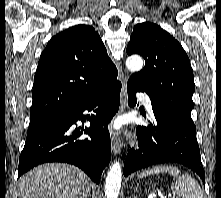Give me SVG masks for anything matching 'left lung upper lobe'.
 <instances>
[{
  "label": "left lung upper lobe",
  "mask_w": 221,
  "mask_h": 198,
  "mask_svg": "<svg viewBox=\"0 0 221 198\" xmlns=\"http://www.w3.org/2000/svg\"><path fill=\"white\" fill-rule=\"evenodd\" d=\"M127 53L139 54L145 59L143 70L134 73L128 84L146 92L152 108L195 127L191 118L195 91L193 72L180 43L158 25L144 22L134 27Z\"/></svg>",
  "instance_id": "left-lung-upper-lobe-1"
}]
</instances>
